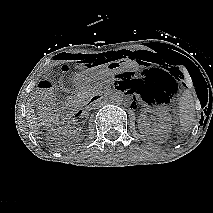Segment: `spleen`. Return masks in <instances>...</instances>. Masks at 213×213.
Instances as JSON below:
<instances>
[{"label": "spleen", "mask_w": 213, "mask_h": 213, "mask_svg": "<svg viewBox=\"0 0 213 213\" xmlns=\"http://www.w3.org/2000/svg\"><path fill=\"white\" fill-rule=\"evenodd\" d=\"M179 124L182 132H187L195 122V106L193 96L185 91L179 103Z\"/></svg>", "instance_id": "3e777b00"}]
</instances>
